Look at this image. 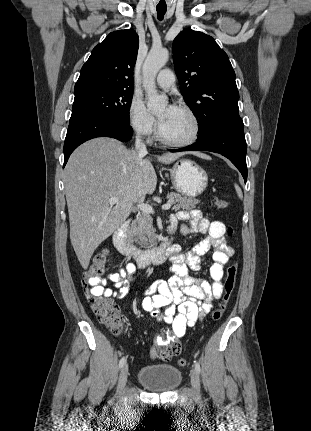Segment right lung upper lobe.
<instances>
[{
    "label": "right lung upper lobe",
    "instance_id": "obj_1",
    "mask_svg": "<svg viewBox=\"0 0 311 431\" xmlns=\"http://www.w3.org/2000/svg\"><path fill=\"white\" fill-rule=\"evenodd\" d=\"M138 48L139 37L134 30L108 34L81 68L74 91L88 88L133 91Z\"/></svg>",
    "mask_w": 311,
    "mask_h": 431
}]
</instances>
